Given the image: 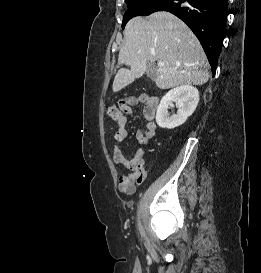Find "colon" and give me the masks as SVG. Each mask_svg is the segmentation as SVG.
I'll use <instances>...</instances> for the list:
<instances>
[{
	"label": "colon",
	"mask_w": 261,
	"mask_h": 273,
	"mask_svg": "<svg viewBox=\"0 0 261 273\" xmlns=\"http://www.w3.org/2000/svg\"><path fill=\"white\" fill-rule=\"evenodd\" d=\"M133 104V99L130 97L121 98L116 105H112L108 114L111 119L118 121L121 118L125 117L131 112V106Z\"/></svg>",
	"instance_id": "5ec220e1"
}]
</instances>
